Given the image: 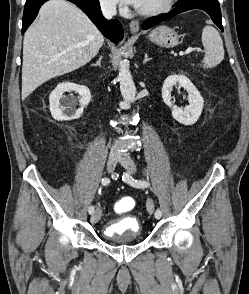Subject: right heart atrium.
<instances>
[{
  "mask_svg": "<svg viewBox=\"0 0 249 294\" xmlns=\"http://www.w3.org/2000/svg\"><path fill=\"white\" fill-rule=\"evenodd\" d=\"M101 7L108 11L113 12L119 7V0H99Z\"/></svg>",
  "mask_w": 249,
  "mask_h": 294,
  "instance_id": "obj_1",
  "label": "right heart atrium"
}]
</instances>
